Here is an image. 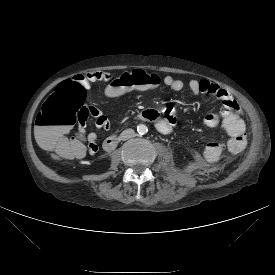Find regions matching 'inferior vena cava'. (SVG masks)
I'll return each mask as SVG.
<instances>
[{"mask_svg": "<svg viewBox=\"0 0 275 275\" xmlns=\"http://www.w3.org/2000/svg\"><path fill=\"white\" fill-rule=\"evenodd\" d=\"M134 135H135V132L133 129H126L120 134V139L125 141L134 137Z\"/></svg>", "mask_w": 275, "mask_h": 275, "instance_id": "obj_1", "label": "inferior vena cava"}]
</instances>
